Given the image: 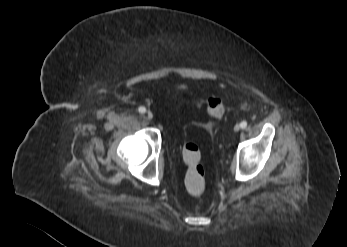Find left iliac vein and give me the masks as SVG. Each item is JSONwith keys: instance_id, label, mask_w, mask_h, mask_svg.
I'll return each mask as SVG.
<instances>
[{"instance_id": "4c4485c4", "label": "left iliac vein", "mask_w": 347, "mask_h": 247, "mask_svg": "<svg viewBox=\"0 0 347 247\" xmlns=\"http://www.w3.org/2000/svg\"><path fill=\"white\" fill-rule=\"evenodd\" d=\"M240 129H241V126H240L239 124H236V125L234 126V131H235V132H238Z\"/></svg>"}]
</instances>
